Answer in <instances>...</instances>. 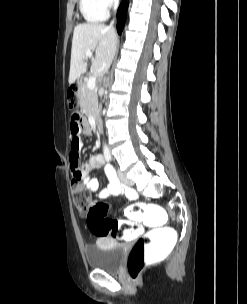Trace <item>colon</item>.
<instances>
[{
  "instance_id": "5ec220e1",
  "label": "colon",
  "mask_w": 247,
  "mask_h": 304,
  "mask_svg": "<svg viewBox=\"0 0 247 304\" xmlns=\"http://www.w3.org/2000/svg\"><path fill=\"white\" fill-rule=\"evenodd\" d=\"M68 106L72 112H78V98L74 91L68 92ZM81 120V119H71ZM72 195L78 211L86 215L90 231L99 236H110L125 241H136L143 233L141 225H152L147 233L137 239L129 256L127 268L129 275L137 279L145 265L152 259H165L166 253H173L178 239L175 225H165L170 221V214H166L165 206L161 202H135L126 210L128 219L114 220L107 218L108 205L102 202L91 203V196L87 190L73 180Z\"/></svg>"
}]
</instances>
